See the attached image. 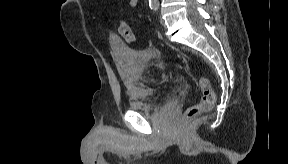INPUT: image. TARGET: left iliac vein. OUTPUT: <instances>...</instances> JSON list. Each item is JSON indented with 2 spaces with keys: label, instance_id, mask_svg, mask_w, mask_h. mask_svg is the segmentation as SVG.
<instances>
[{
  "label": "left iliac vein",
  "instance_id": "left-iliac-vein-1",
  "mask_svg": "<svg viewBox=\"0 0 288 164\" xmlns=\"http://www.w3.org/2000/svg\"><path fill=\"white\" fill-rule=\"evenodd\" d=\"M160 22L162 25H164V20L163 19H160Z\"/></svg>",
  "mask_w": 288,
  "mask_h": 164
}]
</instances>
